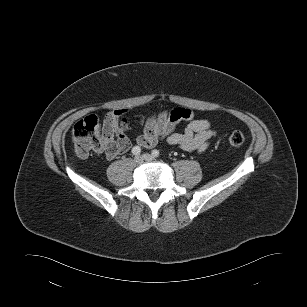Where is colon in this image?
<instances>
[{"mask_svg": "<svg viewBox=\"0 0 307 307\" xmlns=\"http://www.w3.org/2000/svg\"><path fill=\"white\" fill-rule=\"evenodd\" d=\"M112 118L117 121L120 129L127 130L129 123L125 117L121 115ZM137 121L141 123L142 119L137 118ZM104 126L105 119L101 126L100 119L95 115H90L75 123L72 129V140L78 156L84 158L91 152L107 150L108 145L105 140ZM226 142L231 147H239L244 143V135L239 131H235L229 135Z\"/></svg>", "mask_w": 307, "mask_h": 307, "instance_id": "1", "label": "colon"}]
</instances>
